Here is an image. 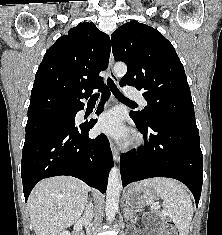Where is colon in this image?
I'll return each mask as SVG.
<instances>
[{
    "instance_id": "1",
    "label": "colon",
    "mask_w": 222,
    "mask_h": 235,
    "mask_svg": "<svg viewBox=\"0 0 222 235\" xmlns=\"http://www.w3.org/2000/svg\"><path fill=\"white\" fill-rule=\"evenodd\" d=\"M160 235H181L180 232L178 231L176 224L168 220L165 222V224L162 226Z\"/></svg>"
}]
</instances>
